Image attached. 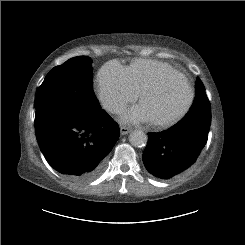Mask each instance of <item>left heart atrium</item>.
Listing matches in <instances>:
<instances>
[{
    "label": "left heart atrium",
    "mask_w": 245,
    "mask_h": 245,
    "mask_svg": "<svg viewBox=\"0 0 245 245\" xmlns=\"http://www.w3.org/2000/svg\"><path fill=\"white\" fill-rule=\"evenodd\" d=\"M122 120L127 123H140L149 121L148 115L141 104L128 109L122 116Z\"/></svg>",
    "instance_id": "39dd6f15"
}]
</instances>
